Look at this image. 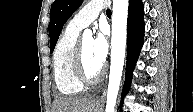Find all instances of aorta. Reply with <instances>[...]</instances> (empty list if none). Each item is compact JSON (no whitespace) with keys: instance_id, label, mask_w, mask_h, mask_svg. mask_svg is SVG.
Instances as JSON below:
<instances>
[{"instance_id":"aorta-1","label":"aorta","mask_w":193,"mask_h":112,"mask_svg":"<svg viewBox=\"0 0 193 112\" xmlns=\"http://www.w3.org/2000/svg\"><path fill=\"white\" fill-rule=\"evenodd\" d=\"M128 6V0H113L111 65L106 97V112L115 111L119 92L126 51ZM83 35L88 37L92 35V32L85 30Z\"/></svg>"}]
</instances>
